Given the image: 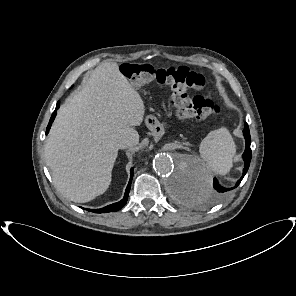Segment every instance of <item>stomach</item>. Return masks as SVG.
I'll list each match as a JSON object with an SVG mask.
<instances>
[{"label":"stomach","mask_w":296,"mask_h":296,"mask_svg":"<svg viewBox=\"0 0 296 296\" xmlns=\"http://www.w3.org/2000/svg\"><path fill=\"white\" fill-rule=\"evenodd\" d=\"M146 125L149 130L152 131V136L155 140L162 141L166 138V129L160 125L159 121L155 117L148 116L146 118Z\"/></svg>","instance_id":"stomach-1"}]
</instances>
